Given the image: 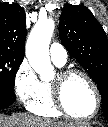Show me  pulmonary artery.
Returning a JSON list of instances; mask_svg holds the SVG:
<instances>
[{"mask_svg": "<svg viewBox=\"0 0 108 127\" xmlns=\"http://www.w3.org/2000/svg\"><path fill=\"white\" fill-rule=\"evenodd\" d=\"M50 57L53 63L57 65H65L68 54L66 49L61 44L53 43L50 46Z\"/></svg>", "mask_w": 108, "mask_h": 127, "instance_id": "obj_1", "label": "pulmonary artery"}]
</instances>
